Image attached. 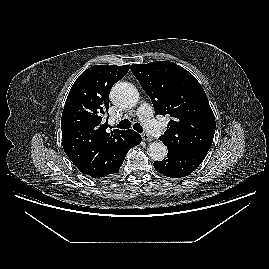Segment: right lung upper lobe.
<instances>
[{
  "label": "right lung upper lobe",
  "mask_w": 269,
  "mask_h": 269,
  "mask_svg": "<svg viewBox=\"0 0 269 269\" xmlns=\"http://www.w3.org/2000/svg\"><path fill=\"white\" fill-rule=\"evenodd\" d=\"M130 65H95L73 84L62 113V145L66 155L85 175L105 178L114 174L120 162L124 130L108 133L102 115L109 108L112 86Z\"/></svg>",
  "instance_id": "1"
}]
</instances>
